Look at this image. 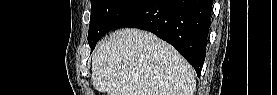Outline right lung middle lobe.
Here are the masks:
<instances>
[{
    "label": "right lung middle lobe",
    "instance_id": "obj_1",
    "mask_svg": "<svg viewBox=\"0 0 277 95\" xmlns=\"http://www.w3.org/2000/svg\"><path fill=\"white\" fill-rule=\"evenodd\" d=\"M144 0H91L88 43L91 51L98 40L113 29Z\"/></svg>",
    "mask_w": 277,
    "mask_h": 95
}]
</instances>
